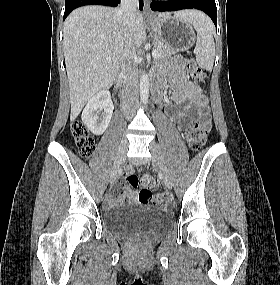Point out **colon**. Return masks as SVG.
Returning <instances> with one entry per match:
<instances>
[{
    "label": "colon",
    "instance_id": "obj_1",
    "mask_svg": "<svg viewBox=\"0 0 280 285\" xmlns=\"http://www.w3.org/2000/svg\"><path fill=\"white\" fill-rule=\"evenodd\" d=\"M185 66L196 83L203 84L205 82V74L193 59H187ZM209 128L210 125L207 121H196L189 125L187 141L192 150H199L206 143ZM71 133L79 153L84 157L92 155L95 150V141L87 127L80 121L74 122L71 126ZM124 178L133 186L140 184L146 191L154 186V180L148 173L142 174L138 179L133 173L125 172ZM153 202L157 205H165L169 202V198L166 194L161 193L153 197Z\"/></svg>",
    "mask_w": 280,
    "mask_h": 285
}]
</instances>
